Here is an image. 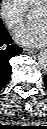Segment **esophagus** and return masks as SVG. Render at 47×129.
<instances>
[{"instance_id":"esophagus-1","label":"esophagus","mask_w":47,"mask_h":129,"mask_svg":"<svg viewBox=\"0 0 47 129\" xmlns=\"http://www.w3.org/2000/svg\"><path fill=\"white\" fill-rule=\"evenodd\" d=\"M23 52L26 53V54H33L36 51L34 49L24 48L23 49Z\"/></svg>"}]
</instances>
